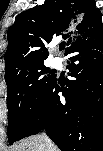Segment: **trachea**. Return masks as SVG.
<instances>
[{"label":"trachea","instance_id":"1","mask_svg":"<svg viewBox=\"0 0 103 151\" xmlns=\"http://www.w3.org/2000/svg\"><path fill=\"white\" fill-rule=\"evenodd\" d=\"M64 48H65V43L62 42V43L59 45V49H60V50H63Z\"/></svg>","mask_w":103,"mask_h":151}]
</instances>
